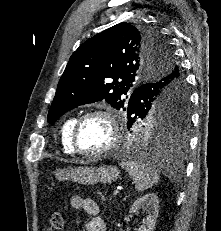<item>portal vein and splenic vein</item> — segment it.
<instances>
[{
	"mask_svg": "<svg viewBox=\"0 0 221 231\" xmlns=\"http://www.w3.org/2000/svg\"><path fill=\"white\" fill-rule=\"evenodd\" d=\"M118 193H119V191H118V190H114L113 195H114V196H117V195H118Z\"/></svg>",
	"mask_w": 221,
	"mask_h": 231,
	"instance_id": "portal-vein-and-splenic-vein-1",
	"label": "portal vein and splenic vein"
}]
</instances>
